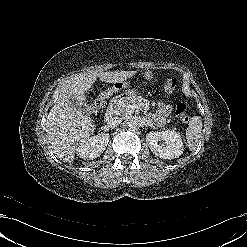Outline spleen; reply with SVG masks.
Segmentation results:
<instances>
[{
	"instance_id": "obj_1",
	"label": "spleen",
	"mask_w": 247,
	"mask_h": 247,
	"mask_svg": "<svg viewBox=\"0 0 247 247\" xmlns=\"http://www.w3.org/2000/svg\"><path fill=\"white\" fill-rule=\"evenodd\" d=\"M202 126V118L200 116H193L190 119L186 130V145L190 151L197 148L201 136Z\"/></svg>"
}]
</instances>
